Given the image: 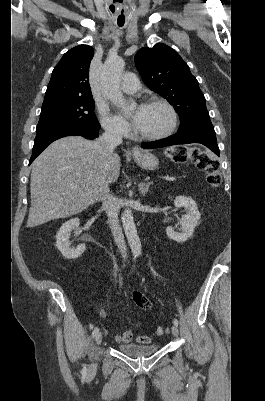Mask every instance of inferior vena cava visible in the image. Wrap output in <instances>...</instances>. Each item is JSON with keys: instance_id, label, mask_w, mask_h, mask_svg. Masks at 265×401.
I'll return each instance as SVG.
<instances>
[{"instance_id": "602c4592", "label": "inferior vena cava", "mask_w": 265, "mask_h": 401, "mask_svg": "<svg viewBox=\"0 0 265 401\" xmlns=\"http://www.w3.org/2000/svg\"><path fill=\"white\" fill-rule=\"evenodd\" d=\"M105 132L103 136H100L101 142L106 144L107 150L112 152L117 144L122 142L121 128L119 124H105ZM98 194L103 203V207L106 209L109 227L114 237V241L122 255L126 257V243L124 241V235L119 225L118 213H119V201L114 194H110V188L108 182L102 184L98 190Z\"/></svg>"}]
</instances>
